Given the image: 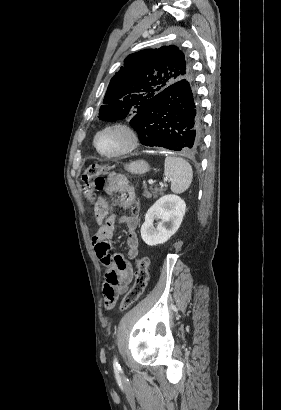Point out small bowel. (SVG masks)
Returning <instances> with one entry per match:
<instances>
[{"mask_svg": "<svg viewBox=\"0 0 281 410\" xmlns=\"http://www.w3.org/2000/svg\"><path fill=\"white\" fill-rule=\"evenodd\" d=\"M108 191L119 192L121 202L125 209H132V205H139L136 201L134 189L129 185L127 178L119 173H111L108 177ZM94 214L99 228L92 237L95 254L101 264L106 268L103 293L105 301L110 296L115 303L117 295L124 292L131 284L134 274L132 261L138 255L139 240L137 227L139 224L138 213L122 216L120 222L127 228L126 252L127 258L121 254H110L109 240L114 234L117 219L110 214L108 201L99 195L94 204Z\"/></svg>", "mask_w": 281, "mask_h": 410, "instance_id": "obj_1", "label": "small bowel"}]
</instances>
